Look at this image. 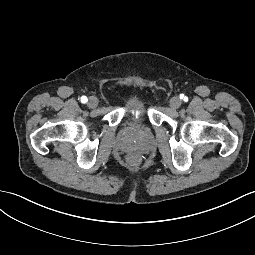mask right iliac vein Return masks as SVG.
<instances>
[{
  "mask_svg": "<svg viewBox=\"0 0 255 255\" xmlns=\"http://www.w3.org/2000/svg\"><path fill=\"white\" fill-rule=\"evenodd\" d=\"M98 104V100L95 97H89L87 105L89 108H95Z\"/></svg>",
  "mask_w": 255,
  "mask_h": 255,
  "instance_id": "1",
  "label": "right iliac vein"
}]
</instances>
